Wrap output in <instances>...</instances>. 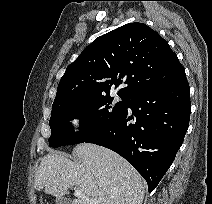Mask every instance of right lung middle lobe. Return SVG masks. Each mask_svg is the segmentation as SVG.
<instances>
[{"label": "right lung middle lobe", "mask_w": 212, "mask_h": 204, "mask_svg": "<svg viewBox=\"0 0 212 204\" xmlns=\"http://www.w3.org/2000/svg\"><path fill=\"white\" fill-rule=\"evenodd\" d=\"M111 105L113 98L109 95L96 97L82 102L63 105L52 109L50 118L51 137L49 145L57 148L84 142L110 125L124 111L127 97ZM80 120V131L74 132L70 120Z\"/></svg>", "instance_id": "right-lung-middle-lobe-1"}]
</instances>
